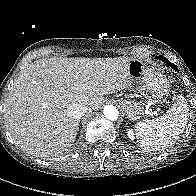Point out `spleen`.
<instances>
[{"mask_svg": "<svg viewBox=\"0 0 196 196\" xmlns=\"http://www.w3.org/2000/svg\"><path fill=\"white\" fill-rule=\"evenodd\" d=\"M189 108L186 99L178 96L176 104L162 116L135 124L138 142L147 150L166 148L183 133L188 122Z\"/></svg>", "mask_w": 196, "mask_h": 196, "instance_id": "obj_1", "label": "spleen"}]
</instances>
